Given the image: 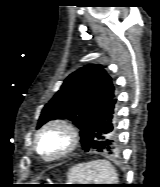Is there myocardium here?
Returning a JSON list of instances; mask_svg holds the SVG:
<instances>
[{"instance_id": "obj_1", "label": "myocardium", "mask_w": 160, "mask_h": 187, "mask_svg": "<svg viewBox=\"0 0 160 187\" xmlns=\"http://www.w3.org/2000/svg\"><path fill=\"white\" fill-rule=\"evenodd\" d=\"M57 132L65 138V145L54 154H47L42 150V144L46 136ZM79 132L70 122L63 119H54L43 124L36 132L33 149L35 153L46 162H54L73 152L79 144Z\"/></svg>"}]
</instances>
